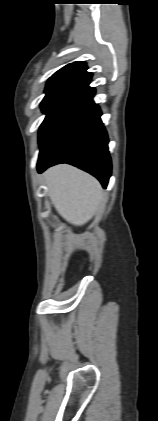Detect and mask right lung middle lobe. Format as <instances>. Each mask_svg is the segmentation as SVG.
Segmentation results:
<instances>
[{"mask_svg":"<svg viewBox=\"0 0 158 421\" xmlns=\"http://www.w3.org/2000/svg\"><path fill=\"white\" fill-rule=\"evenodd\" d=\"M80 90L75 85H62L45 90L41 108L46 117L39 129V144L44 142L65 104Z\"/></svg>","mask_w":158,"mask_h":421,"instance_id":"dd1d6c3e","label":"right lung middle lobe"}]
</instances>
